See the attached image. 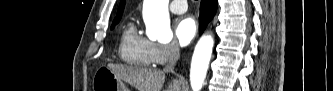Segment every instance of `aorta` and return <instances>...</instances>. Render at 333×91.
I'll return each instance as SVG.
<instances>
[{"mask_svg":"<svg viewBox=\"0 0 333 91\" xmlns=\"http://www.w3.org/2000/svg\"><path fill=\"white\" fill-rule=\"evenodd\" d=\"M169 0H144L143 19L149 39L168 42L172 39L168 12ZM214 39L204 35L198 41L191 62L190 82L192 91H200L207 74Z\"/></svg>","mask_w":333,"mask_h":91,"instance_id":"1","label":"aorta"}]
</instances>
